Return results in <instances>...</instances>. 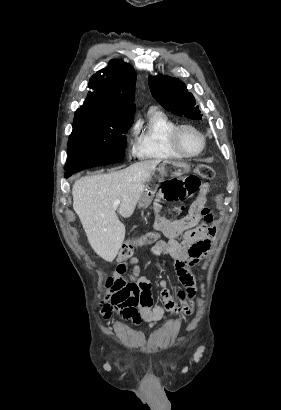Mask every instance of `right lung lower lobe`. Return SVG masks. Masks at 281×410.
Instances as JSON below:
<instances>
[{"label":"right lung lower lobe","mask_w":281,"mask_h":410,"mask_svg":"<svg viewBox=\"0 0 281 410\" xmlns=\"http://www.w3.org/2000/svg\"><path fill=\"white\" fill-rule=\"evenodd\" d=\"M71 174L65 173L64 176L67 178L69 177Z\"/></svg>","instance_id":"98d812e1"}]
</instances>
